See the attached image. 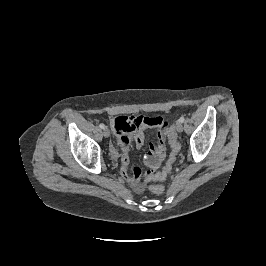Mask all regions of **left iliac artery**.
<instances>
[{"label":"left iliac artery","instance_id":"44dca946","mask_svg":"<svg viewBox=\"0 0 266 266\" xmlns=\"http://www.w3.org/2000/svg\"><path fill=\"white\" fill-rule=\"evenodd\" d=\"M184 120H185V119H184V117H183V116L179 118V122H181V123H183V122H184Z\"/></svg>","mask_w":266,"mask_h":266}]
</instances>
